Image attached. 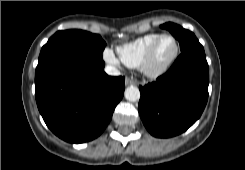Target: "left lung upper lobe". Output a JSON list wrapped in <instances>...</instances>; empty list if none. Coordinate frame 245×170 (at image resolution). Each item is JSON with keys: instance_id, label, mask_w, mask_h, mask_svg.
Returning a JSON list of instances; mask_svg holds the SVG:
<instances>
[{"instance_id": "obj_1", "label": "left lung upper lobe", "mask_w": 245, "mask_h": 170, "mask_svg": "<svg viewBox=\"0 0 245 170\" xmlns=\"http://www.w3.org/2000/svg\"><path fill=\"white\" fill-rule=\"evenodd\" d=\"M160 27L169 30L170 33L179 41L182 53L187 52L205 56L203 46L191 31L170 22L165 23Z\"/></svg>"}]
</instances>
